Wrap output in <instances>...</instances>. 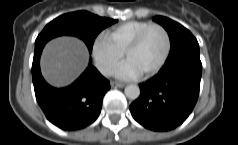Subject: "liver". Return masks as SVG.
I'll return each mask as SVG.
<instances>
[{"mask_svg": "<svg viewBox=\"0 0 238 145\" xmlns=\"http://www.w3.org/2000/svg\"><path fill=\"white\" fill-rule=\"evenodd\" d=\"M89 54L84 43L75 37H60L48 42L41 57V70L52 86L72 83L86 68Z\"/></svg>", "mask_w": 238, "mask_h": 145, "instance_id": "liver-1", "label": "liver"}]
</instances>
